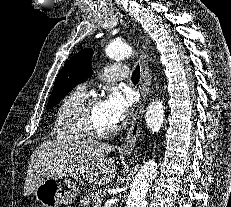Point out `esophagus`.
<instances>
[{"label":"esophagus","mask_w":231,"mask_h":207,"mask_svg":"<svg viewBox=\"0 0 231 207\" xmlns=\"http://www.w3.org/2000/svg\"><path fill=\"white\" fill-rule=\"evenodd\" d=\"M151 74L148 65L143 62L141 71V101L139 102L137 109L132 117L131 125L126 133L122 144V150L126 153H132L138 137L141 133L142 118L144 114V103L146 96L150 90Z\"/></svg>","instance_id":"esophagus-1"}]
</instances>
